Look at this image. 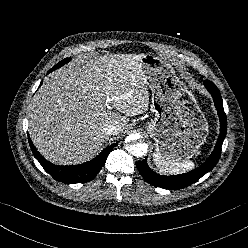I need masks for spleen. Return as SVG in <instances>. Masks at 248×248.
<instances>
[{"label":"spleen","mask_w":248,"mask_h":248,"mask_svg":"<svg viewBox=\"0 0 248 248\" xmlns=\"http://www.w3.org/2000/svg\"><path fill=\"white\" fill-rule=\"evenodd\" d=\"M153 160L155 161L157 168L161 172L168 174L185 173L187 171L192 170L196 165L193 161H184V162L165 161L155 153L153 154Z\"/></svg>","instance_id":"3e777b00"}]
</instances>
